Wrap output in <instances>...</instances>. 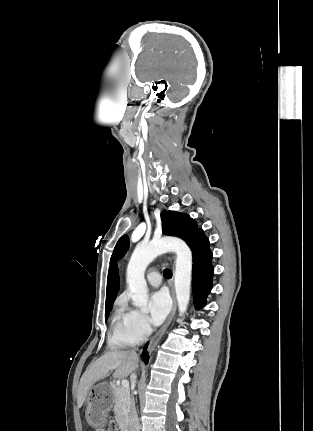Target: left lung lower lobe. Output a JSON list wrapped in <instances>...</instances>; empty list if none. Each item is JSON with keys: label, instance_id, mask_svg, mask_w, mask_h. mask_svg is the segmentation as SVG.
Segmentation results:
<instances>
[{"label": "left lung lower lobe", "instance_id": "0a47b994", "mask_svg": "<svg viewBox=\"0 0 313 431\" xmlns=\"http://www.w3.org/2000/svg\"><path fill=\"white\" fill-rule=\"evenodd\" d=\"M193 254L192 290L196 309L203 307L206 297L212 288L213 267L212 252L209 249V240L203 230H200L192 244L189 246Z\"/></svg>", "mask_w": 313, "mask_h": 431}]
</instances>
